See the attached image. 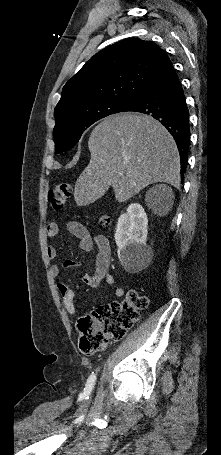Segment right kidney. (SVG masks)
Segmentation results:
<instances>
[{
  "instance_id": "ca27d5eb",
  "label": "right kidney",
  "mask_w": 221,
  "mask_h": 455,
  "mask_svg": "<svg viewBox=\"0 0 221 455\" xmlns=\"http://www.w3.org/2000/svg\"><path fill=\"white\" fill-rule=\"evenodd\" d=\"M147 226V215L138 203L130 204L127 213L118 219L114 236L118 258L128 271L142 267L151 257V249L146 244Z\"/></svg>"
}]
</instances>
